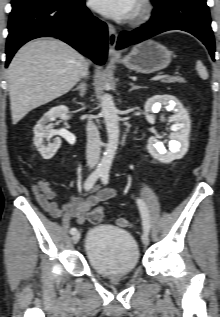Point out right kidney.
<instances>
[{
  "mask_svg": "<svg viewBox=\"0 0 220 317\" xmlns=\"http://www.w3.org/2000/svg\"><path fill=\"white\" fill-rule=\"evenodd\" d=\"M68 112L69 109L64 105L53 107L47 113L44 114V116L38 121V123L34 127L33 142L44 159H51L61 146L60 138H56L54 142L52 144H49L48 146H45L43 144L44 137L46 136L45 124L47 122L54 121L56 118L68 120Z\"/></svg>",
  "mask_w": 220,
  "mask_h": 317,
  "instance_id": "obj_1",
  "label": "right kidney"
}]
</instances>
